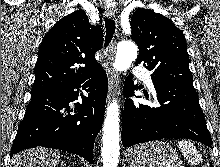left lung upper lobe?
I'll list each match as a JSON object with an SVG mask.
<instances>
[{"mask_svg": "<svg viewBox=\"0 0 220 167\" xmlns=\"http://www.w3.org/2000/svg\"><path fill=\"white\" fill-rule=\"evenodd\" d=\"M131 26L130 37L139 47L136 65L143 64L152 71V81L193 86L184 34L169 18L138 9Z\"/></svg>", "mask_w": 220, "mask_h": 167, "instance_id": "obj_1", "label": "left lung upper lobe"}]
</instances>
